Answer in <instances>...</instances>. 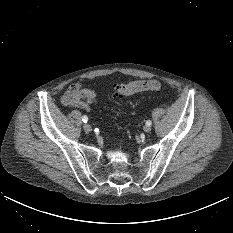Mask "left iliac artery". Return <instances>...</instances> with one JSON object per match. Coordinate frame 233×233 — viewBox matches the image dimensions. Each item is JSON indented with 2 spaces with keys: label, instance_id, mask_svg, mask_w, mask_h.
Returning <instances> with one entry per match:
<instances>
[{
  "label": "left iliac artery",
  "instance_id": "1",
  "mask_svg": "<svg viewBox=\"0 0 233 233\" xmlns=\"http://www.w3.org/2000/svg\"><path fill=\"white\" fill-rule=\"evenodd\" d=\"M151 124H152V122H151L150 120H147V121H146V125H147V126H151Z\"/></svg>",
  "mask_w": 233,
  "mask_h": 233
}]
</instances>
